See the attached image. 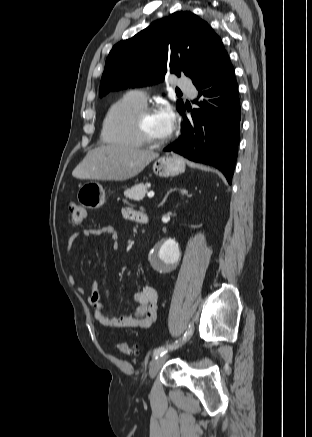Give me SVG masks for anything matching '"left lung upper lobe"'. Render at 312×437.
Instances as JSON below:
<instances>
[{"mask_svg":"<svg viewBox=\"0 0 312 437\" xmlns=\"http://www.w3.org/2000/svg\"><path fill=\"white\" fill-rule=\"evenodd\" d=\"M225 51L221 39L191 12H175L153 22L109 53L100 83V97L110 91L162 81L169 73L186 75L196 84ZM178 111L185 108L177 101Z\"/></svg>","mask_w":312,"mask_h":437,"instance_id":"left-lung-upper-lobe-1","label":"left lung upper lobe"}]
</instances>
